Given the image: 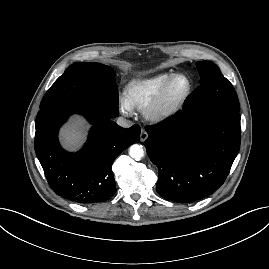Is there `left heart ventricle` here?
Wrapping results in <instances>:
<instances>
[{
	"label": "left heart ventricle",
	"instance_id": "left-heart-ventricle-1",
	"mask_svg": "<svg viewBox=\"0 0 269 269\" xmlns=\"http://www.w3.org/2000/svg\"><path fill=\"white\" fill-rule=\"evenodd\" d=\"M187 82L183 78H179L173 82L171 85L168 94L167 101H174L178 99L186 90Z\"/></svg>",
	"mask_w": 269,
	"mask_h": 269
}]
</instances>
